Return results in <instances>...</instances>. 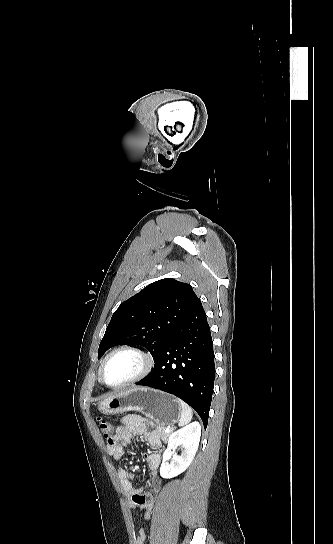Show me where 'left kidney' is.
I'll use <instances>...</instances> for the list:
<instances>
[{
  "label": "left kidney",
  "mask_w": 333,
  "mask_h": 544,
  "mask_svg": "<svg viewBox=\"0 0 333 544\" xmlns=\"http://www.w3.org/2000/svg\"><path fill=\"white\" fill-rule=\"evenodd\" d=\"M200 435L201 426L198 422H193L170 435L168 447L163 453L160 467L161 477L172 478L178 476L189 467L198 449ZM177 447H182L181 455H174L172 450ZM170 459L169 464L167 461Z\"/></svg>",
  "instance_id": "1"
}]
</instances>
